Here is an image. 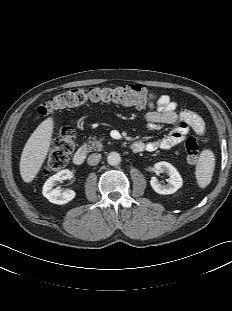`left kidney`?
I'll return each mask as SVG.
<instances>
[{
    "label": "left kidney",
    "instance_id": "1",
    "mask_svg": "<svg viewBox=\"0 0 232 311\" xmlns=\"http://www.w3.org/2000/svg\"><path fill=\"white\" fill-rule=\"evenodd\" d=\"M154 172L156 174L164 172L169 176L166 185L160 184L156 177L151 178L150 184L156 193L163 195L173 194L182 187V178L177 169L170 163L164 161L156 163Z\"/></svg>",
    "mask_w": 232,
    "mask_h": 311
}]
</instances>
